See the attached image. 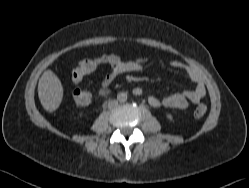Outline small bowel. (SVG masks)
I'll list each match as a JSON object with an SVG mask.
<instances>
[{"instance_id":"obj_1","label":"small bowel","mask_w":249,"mask_h":188,"mask_svg":"<svg viewBox=\"0 0 249 188\" xmlns=\"http://www.w3.org/2000/svg\"><path fill=\"white\" fill-rule=\"evenodd\" d=\"M108 63L110 65V72L102 81V85L104 87L109 86L114 81V79L122 73L140 71L143 68L142 59H132L124 61L116 56H113ZM171 66L184 72L189 77V79L194 84L193 89L185 91L183 93H173L163 98L150 96L148 98L149 104L156 108L165 107L170 109L183 110L187 108L189 103H199L206 94V88L198 72L192 67L180 61H172ZM135 91L141 90L137 88L135 89Z\"/></svg>"}]
</instances>
